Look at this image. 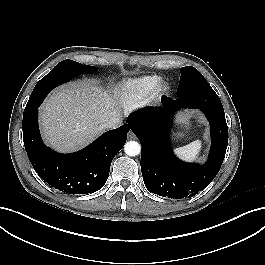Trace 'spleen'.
<instances>
[{
  "label": "spleen",
  "mask_w": 265,
  "mask_h": 265,
  "mask_svg": "<svg viewBox=\"0 0 265 265\" xmlns=\"http://www.w3.org/2000/svg\"><path fill=\"white\" fill-rule=\"evenodd\" d=\"M202 143L200 140L191 142L190 144L176 148L174 152L186 161H195L201 151Z\"/></svg>",
  "instance_id": "1"
}]
</instances>
